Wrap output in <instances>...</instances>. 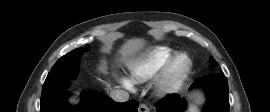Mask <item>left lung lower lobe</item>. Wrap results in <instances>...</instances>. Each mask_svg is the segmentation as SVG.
<instances>
[{
    "label": "left lung lower lobe",
    "instance_id": "left-lung-lower-lobe-1",
    "mask_svg": "<svg viewBox=\"0 0 270 112\" xmlns=\"http://www.w3.org/2000/svg\"><path fill=\"white\" fill-rule=\"evenodd\" d=\"M193 87H202L207 93V106L203 112H229L228 83L222 74L202 77L192 84ZM185 107L178 94L169 96L156 106L157 112H183Z\"/></svg>",
    "mask_w": 270,
    "mask_h": 112
}]
</instances>
